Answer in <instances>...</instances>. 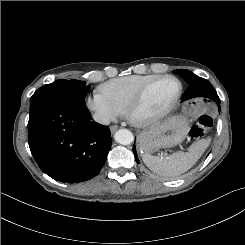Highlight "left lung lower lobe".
<instances>
[{"label": "left lung lower lobe", "instance_id": "1", "mask_svg": "<svg viewBox=\"0 0 245 245\" xmlns=\"http://www.w3.org/2000/svg\"><path fill=\"white\" fill-rule=\"evenodd\" d=\"M211 100L215 101L218 105V108H219V111H220V99L219 97L216 95V96H213L212 98H210ZM133 153H134V156H135V159H136V162L139 163V160H138V157H137V153H136V148L135 146L133 147Z\"/></svg>", "mask_w": 245, "mask_h": 245}]
</instances>
